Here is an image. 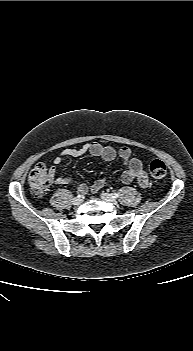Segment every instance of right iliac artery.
I'll use <instances>...</instances> for the list:
<instances>
[{
	"instance_id": "1",
	"label": "right iliac artery",
	"mask_w": 193,
	"mask_h": 351,
	"mask_svg": "<svg viewBox=\"0 0 193 351\" xmlns=\"http://www.w3.org/2000/svg\"><path fill=\"white\" fill-rule=\"evenodd\" d=\"M77 197L81 198V197H83V195H82V194H78V196H77Z\"/></svg>"
}]
</instances>
